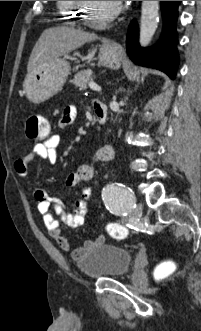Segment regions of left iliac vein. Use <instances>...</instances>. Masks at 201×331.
Segmentation results:
<instances>
[{
    "label": "left iliac vein",
    "mask_w": 201,
    "mask_h": 331,
    "mask_svg": "<svg viewBox=\"0 0 201 331\" xmlns=\"http://www.w3.org/2000/svg\"><path fill=\"white\" fill-rule=\"evenodd\" d=\"M142 212H143V207H142V205L139 203V204H137V206L135 207L134 212H133V215H134V217H136V218H141V216H142Z\"/></svg>",
    "instance_id": "obj_1"
}]
</instances>
